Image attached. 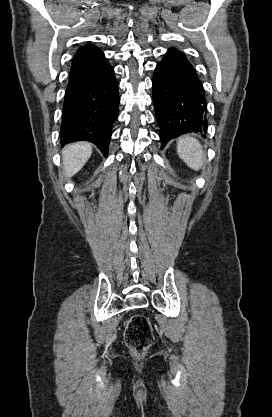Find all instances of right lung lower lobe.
I'll return each mask as SVG.
<instances>
[{"mask_svg":"<svg viewBox=\"0 0 272 417\" xmlns=\"http://www.w3.org/2000/svg\"><path fill=\"white\" fill-rule=\"evenodd\" d=\"M118 104V83L104 53L93 45L77 53L63 104L62 145L89 141L107 156Z\"/></svg>","mask_w":272,"mask_h":417,"instance_id":"obj_1","label":"right lung lower lobe"}]
</instances>
